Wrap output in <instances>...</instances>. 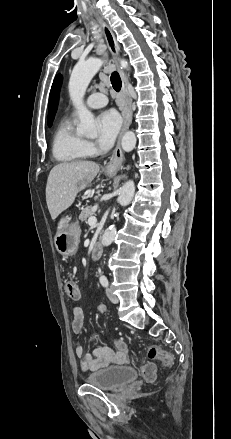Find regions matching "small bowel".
<instances>
[{
    "label": "small bowel",
    "mask_w": 231,
    "mask_h": 439,
    "mask_svg": "<svg viewBox=\"0 0 231 439\" xmlns=\"http://www.w3.org/2000/svg\"><path fill=\"white\" fill-rule=\"evenodd\" d=\"M78 300L80 298H73ZM100 312H104L106 307L104 304L98 306ZM71 326L75 334H79L84 325V312L79 306L72 307ZM115 349L109 347H97L91 352H85L82 345H77L75 354L80 358L79 367L82 371H95L109 365H123L128 360V348L123 340L115 341Z\"/></svg>",
    "instance_id": "small-bowel-1"
}]
</instances>
